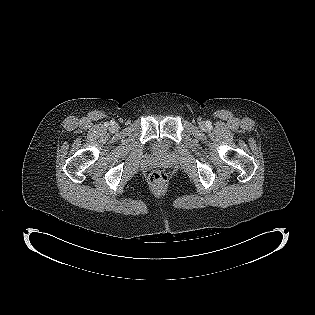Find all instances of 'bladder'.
<instances>
[{"instance_id":"bladder-1","label":"bladder","mask_w":315,"mask_h":315,"mask_svg":"<svg viewBox=\"0 0 315 315\" xmlns=\"http://www.w3.org/2000/svg\"><path fill=\"white\" fill-rule=\"evenodd\" d=\"M158 147L161 149V148H163V143L162 142H159L158 143Z\"/></svg>"}]
</instances>
